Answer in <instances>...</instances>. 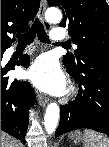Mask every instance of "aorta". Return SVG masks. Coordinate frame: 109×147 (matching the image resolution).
<instances>
[{
    "label": "aorta",
    "instance_id": "762f6f07",
    "mask_svg": "<svg viewBox=\"0 0 109 147\" xmlns=\"http://www.w3.org/2000/svg\"><path fill=\"white\" fill-rule=\"evenodd\" d=\"M45 19L48 22L58 23L62 20V13L56 7H50L45 12ZM60 110L56 103H50L47 106L44 117V126L48 134L55 132L59 120Z\"/></svg>",
    "mask_w": 109,
    "mask_h": 147
}]
</instances>
